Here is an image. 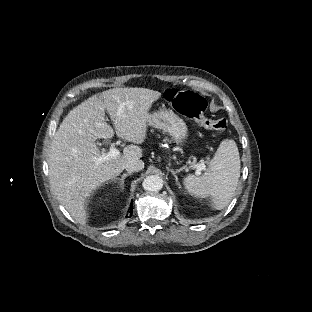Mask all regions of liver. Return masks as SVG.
I'll return each instance as SVG.
<instances>
[{
  "label": "liver",
  "instance_id": "6515ba94",
  "mask_svg": "<svg viewBox=\"0 0 312 312\" xmlns=\"http://www.w3.org/2000/svg\"><path fill=\"white\" fill-rule=\"evenodd\" d=\"M160 96L146 88H113L88 98L63 119L48 153L49 179L57 200L81 225L86 224L85 203L92 193L119 176L127 162L142 157L139 146L128 145L123 155L95 166L93 157L101 154L95 140L114 136L105 109L118 137L141 144L146 138L148 111Z\"/></svg>",
  "mask_w": 312,
  "mask_h": 312
}]
</instances>
